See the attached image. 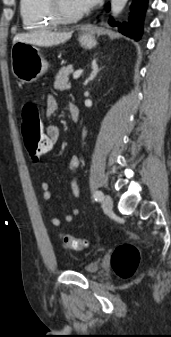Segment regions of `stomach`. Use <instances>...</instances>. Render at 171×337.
<instances>
[{
	"label": "stomach",
	"mask_w": 171,
	"mask_h": 337,
	"mask_svg": "<svg viewBox=\"0 0 171 337\" xmlns=\"http://www.w3.org/2000/svg\"><path fill=\"white\" fill-rule=\"evenodd\" d=\"M80 44L92 49L97 42L90 33H83L79 37ZM11 66L13 75L22 83H32L42 76L48 69L47 61L40 50L33 44L16 42L11 50Z\"/></svg>",
	"instance_id": "0dacf381"
}]
</instances>
